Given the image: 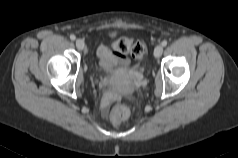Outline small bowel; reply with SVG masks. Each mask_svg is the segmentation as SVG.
<instances>
[{"mask_svg": "<svg viewBox=\"0 0 238 158\" xmlns=\"http://www.w3.org/2000/svg\"><path fill=\"white\" fill-rule=\"evenodd\" d=\"M98 56L100 58L101 63L106 66V65H112L114 64L117 60H121L123 62H127V59L123 56L119 55H113L110 50L102 45L98 49Z\"/></svg>", "mask_w": 238, "mask_h": 158, "instance_id": "c3829d8e", "label": "small bowel"}]
</instances>
